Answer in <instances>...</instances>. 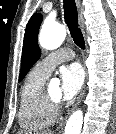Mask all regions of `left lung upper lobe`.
Here are the masks:
<instances>
[{
	"label": "left lung upper lobe",
	"mask_w": 116,
	"mask_h": 134,
	"mask_svg": "<svg viewBox=\"0 0 116 134\" xmlns=\"http://www.w3.org/2000/svg\"><path fill=\"white\" fill-rule=\"evenodd\" d=\"M41 22L42 15L36 13L30 18L27 24L24 35L19 81L25 77L30 68L40 57V50L37 44V36Z\"/></svg>",
	"instance_id": "1"
}]
</instances>
